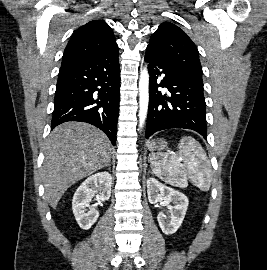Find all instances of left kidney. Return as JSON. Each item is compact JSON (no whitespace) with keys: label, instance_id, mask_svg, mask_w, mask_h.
Wrapping results in <instances>:
<instances>
[{"label":"left kidney","instance_id":"5707ae66","mask_svg":"<svg viewBox=\"0 0 267 270\" xmlns=\"http://www.w3.org/2000/svg\"><path fill=\"white\" fill-rule=\"evenodd\" d=\"M147 194L150 203L163 201L170 208V219L164 213H159L157 220L164 234H174L184 220L189 203L188 198L153 177L147 179ZM170 203H173L174 206H169Z\"/></svg>","mask_w":267,"mask_h":270}]
</instances>
